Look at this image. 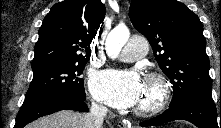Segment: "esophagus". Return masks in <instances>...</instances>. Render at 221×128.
<instances>
[{"instance_id": "34e87169", "label": "esophagus", "mask_w": 221, "mask_h": 128, "mask_svg": "<svg viewBox=\"0 0 221 128\" xmlns=\"http://www.w3.org/2000/svg\"><path fill=\"white\" fill-rule=\"evenodd\" d=\"M122 127H123V128H130V124L127 123V122H124V123L122 124Z\"/></svg>"}]
</instances>
